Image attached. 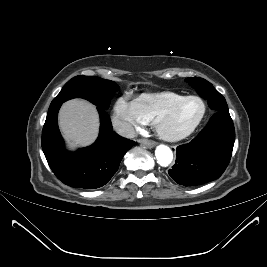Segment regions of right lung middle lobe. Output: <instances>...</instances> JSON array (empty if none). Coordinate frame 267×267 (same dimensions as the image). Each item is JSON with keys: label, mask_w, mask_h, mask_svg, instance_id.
<instances>
[{"label": "right lung middle lobe", "mask_w": 267, "mask_h": 267, "mask_svg": "<svg viewBox=\"0 0 267 267\" xmlns=\"http://www.w3.org/2000/svg\"><path fill=\"white\" fill-rule=\"evenodd\" d=\"M119 86L109 80L93 76H76L69 80L60 93L53 99L50 107L80 97L89 100L103 109H108L110 100Z\"/></svg>", "instance_id": "1"}]
</instances>
